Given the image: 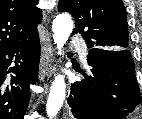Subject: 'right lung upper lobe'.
Returning <instances> with one entry per match:
<instances>
[{
	"mask_svg": "<svg viewBox=\"0 0 142 119\" xmlns=\"http://www.w3.org/2000/svg\"><path fill=\"white\" fill-rule=\"evenodd\" d=\"M38 0H0V49L30 39L41 23Z\"/></svg>",
	"mask_w": 142,
	"mask_h": 119,
	"instance_id": "right-lung-upper-lobe-1",
	"label": "right lung upper lobe"
}]
</instances>
